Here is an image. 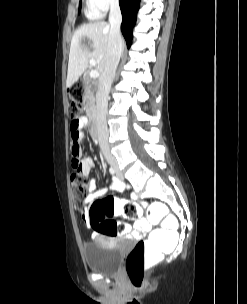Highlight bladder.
Returning a JSON list of instances; mask_svg holds the SVG:
<instances>
[{
  "instance_id": "bladder-1",
  "label": "bladder",
  "mask_w": 247,
  "mask_h": 304,
  "mask_svg": "<svg viewBox=\"0 0 247 304\" xmlns=\"http://www.w3.org/2000/svg\"><path fill=\"white\" fill-rule=\"evenodd\" d=\"M84 257L89 270L115 274L123 257L120 243L108 238H99L84 248Z\"/></svg>"
}]
</instances>
